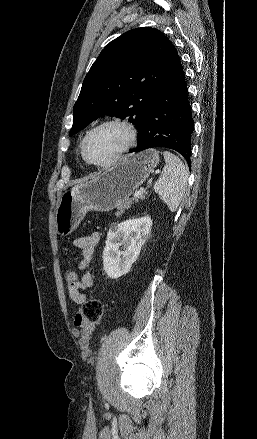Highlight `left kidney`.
I'll return each instance as SVG.
<instances>
[{"label":"left kidney","instance_id":"5707ae66","mask_svg":"<svg viewBox=\"0 0 257 439\" xmlns=\"http://www.w3.org/2000/svg\"><path fill=\"white\" fill-rule=\"evenodd\" d=\"M151 226L152 220L148 216L111 226L102 256L103 270L108 277L117 279L129 272L148 238Z\"/></svg>","mask_w":257,"mask_h":439}]
</instances>
